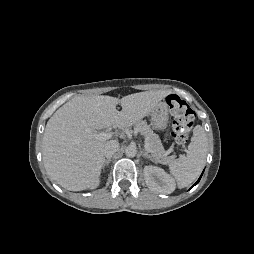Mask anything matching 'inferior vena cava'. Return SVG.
<instances>
[{
	"label": "inferior vena cava",
	"instance_id": "obj_1",
	"mask_svg": "<svg viewBox=\"0 0 254 254\" xmlns=\"http://www.w3.org/2000/svg\"><path fill=\"white\" fill-rule=\"evenodd\" d=\"M119 142L110 140L104 147L103 153L106 158H111L119 150Z\"/></svg>",
	"mask_w": 254,
	"mask_h": 254
}]
</instances>
